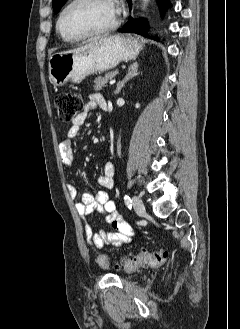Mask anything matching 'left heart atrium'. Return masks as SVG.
Here are the masks:
<instances>
[{"label":"left heart atrium","mask_w":240,"mask_h":329,"mask_svg":"<svg viewBox=\"0 0 240 329\" xmlns=\"http://www.w3.org/2000/svg\"><path fill=\"white\" fill-rule=\"evenodd\" d=\"M115 11H116V14H117V12H118V9H116V8H115Z\"/></svg>","instance_id":"obj_1"}]
</instances>
